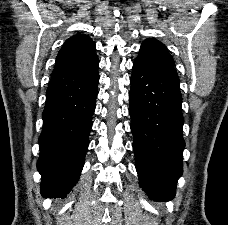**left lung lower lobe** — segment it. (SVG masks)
Listing matches in <instances>:
<instances>
[{
	"instance_id": "1",
	"label": "left lung lower lobe",
	"mask_w": 228,
	"mask_h": 225,
	"mask_svg": "<svg viewBox=\"0 0 228 225\" xmlns=\"http://www.w3.org/2000/svg\"><path fill=\"white\" fill-rule=\"evenodd\" d=\"M129 98L140 184L153 199H172L183 171L185 146L182 97L174 67L158 66L137 57Z\"/></svg>"
}]
</instances>
